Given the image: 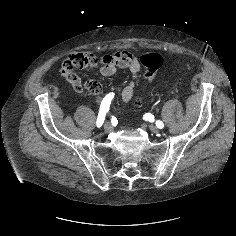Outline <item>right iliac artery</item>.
I'll return each mask as SVG.
<instances>
[{"label":"right iliac artery","instance_id":"1","mask_svg":"<svg viewBox=\"0 0 236 236\" xmlns=\"http://www.w3.org/2000/svg\"><path fill=\"white\" fill-rule=\"evenodd\" d=\"M114 98V93H109L107 94L102 102H101V105H100V110H99V114H98V118H97V127H101L104 120H105V115L106 113L109 111V107H110V104H111V101L112 99Z\"/></svg>","mask_w":236,"mask_h":236}]
</instances>
